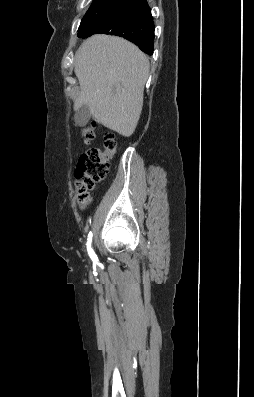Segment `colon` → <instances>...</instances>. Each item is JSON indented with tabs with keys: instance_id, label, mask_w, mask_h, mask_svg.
Masks as SVG:
<instances>
[{
	"instance_id": "5ec220e1",
	"label": "colon",
	"mask_w": 254,
	"mask_h": 397,
	"mask_svg": "<svg viewBox=\"0 0 254 397\" xmlns=\"http://www.w3.org/2000/svg\"><path fill=\"white\" fill-rule=\"evenodd\" d=\"M95 125L82 130L83 140L89 144L94 139ZM118 144L112 133L104 137V150L91 148L83 153L78 160L75 170L78 203L86 208L90 202V191L103 180L109 171V161L117 151Z\"/></svg>"
}]
</instances>
